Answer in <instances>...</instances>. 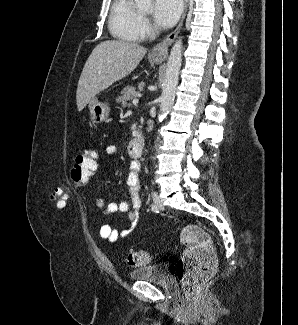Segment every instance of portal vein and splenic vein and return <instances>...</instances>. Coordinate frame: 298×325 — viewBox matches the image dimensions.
Returning <instances> with one entry per match:
<instances>
[{
    "label": "portal vein and splenic vein",
    "instance_id": "18ae733b",
    "mask_svg": "<svg viewBox=\"0 0 298 325\" xmlns=\"http://www.w3.org/2000/svg\"><path fill=\"white\" fill-rule=\"evenodd\" d=\"M138 96H142V94H138ZM132 102L133 104H137V102H139V98H133Z\"/></svg>",
    "mask_w": 298,
    "mask_h": 325
}]
</instances>
